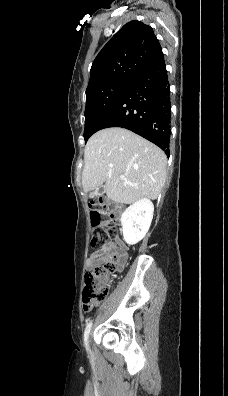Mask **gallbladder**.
<instances>
[{"instance_id":"1","label":"gallbladder","mask_w":228,"mask_h":396,"mask_svg":"<svg viewBox=\"0 0 228 396\" xmlns=\"http://www.w3.org/2000/svg\"><path fill=\"white\" fill-rule=\"evenodd\" d=\"M102 188H103V186L101 185V186H99L98 188H96V190H95V194H100L101 193V191H102Z\"/></svg>"}]
</instances>
